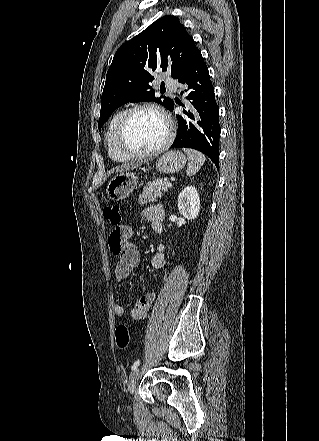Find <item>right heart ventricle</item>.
I'll list each match as a JSON object with an SVG mask.
<instances>
[{
	"instance_id": "obj_1",
	"label": "right heart ventricle",
	"mask_w": 319,
	"mask_h": 441,
	"mask_svg": "<svg viewBox=\"0 0 319 441\" xmlns=\"http://www.w3.org/2000/svg\"><path fill=\"white\" fill-rule=\"evenodd\" d=\"M125 111V109H121L112 116L105 132V142L108 155L116 162H126L130 159V157L120 151L116 143L117 126Z\"/></svg>"
}]
</instances>
